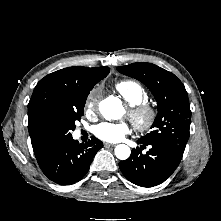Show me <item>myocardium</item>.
I'll return each instance as SVG.
<instances>
[{"mask_svg": "<svg viewBox=\"0 0 221 221\" xmlns=\"http://www.w3.org/2000/svg\"><path fill=\"white\" fill-rule=\"evenodd\" d=\"M134 127L140 132L149 131L157 119V110L147 102L134 105L129 110Z\"/></svg>", "mask_w": 221, "mask_h": 221, "instance_id": "f54148a6", "label": "myocardium"}]
</instances>
